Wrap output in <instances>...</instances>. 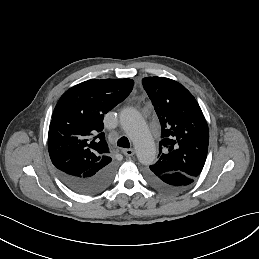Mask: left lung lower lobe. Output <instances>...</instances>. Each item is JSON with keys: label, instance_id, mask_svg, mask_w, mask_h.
<instances>
[{"label": "left lung lower lobe", "instance_id": "obj_1", "mask_svg": "<svg viewBox=\"0 0 259 259\" xmlns=\"http://www.w3.org/2000/svg\"><path fill=\"white\" fill-rule=\"evenodd\" d=\"M146 178L149 184L164 193H180L191 186L195 178L186 176L180 172L155 174L147 171Z\"/></svg>", "mask_w": 259, "mask_h": 259}]
</instances>
